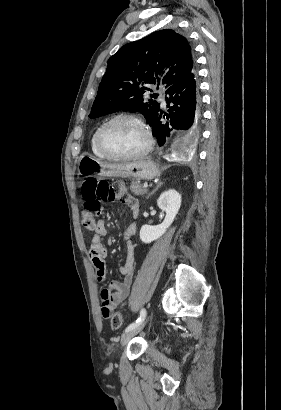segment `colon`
Instances as JSON below:
<instances>
[{
    "mask_svg": "<svg viewBox=\"0 0 281 410\" xmlns=\"http://www.w3.org/2000/svg\"><path fill=\"white\" fill-rule=\"evenodd\" d=\"M120 186H111L106 180L89 178L82 184V224L86 228L95 226V218L101 212L102 201H114L118 196L123 194ZM123 315L115 313L111 318V328L118 331L123 327Z\"/></svg>",
    "mask_w": 281,
    "mask_h": 410,
    "instance_id": "1",
    "label": "colon"
}]
</instances>
